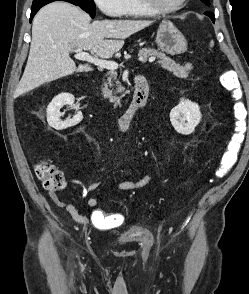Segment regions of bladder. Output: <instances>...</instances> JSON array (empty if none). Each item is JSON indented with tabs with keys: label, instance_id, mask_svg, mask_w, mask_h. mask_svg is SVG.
<instances>
[{
	"label": "bladder",
	"instance_id": "31cf9c89",
	"mask_svg": "<svg viewBox=\"0 0 249 294\" xmlns=\"http://www.w3.org/2000/svg\"><path fill=\"white\" fill-rule=\"evenodd\" d=\"M150 239V232L142 227L136 226L127 230L119 240L123 244L140 243Z\"/></svg>",
	"mask_w": 249,
	"mask_h": 294
}]
</instances>
